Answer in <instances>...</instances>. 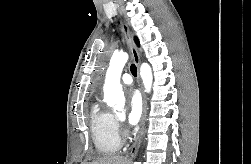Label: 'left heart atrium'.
Segmentation results:
<instances>
[{
    "label": "left heart atrium",
    "instance_id": "39dd6f15",
    "mask_svg": "<svg viewBox=\"0 0 251 164\" xmlns=\"http://www.w3.org/2000/svg\"><path fill=\"white\" fill-rule=\"evenodd\" d=\"M142 114V100L140 94L132 90L128 93V115L127 121L130 125L136 124Z\"/></svg>",
    "mask_w": 251,
    "mask_h": 164
}]
</instances>
